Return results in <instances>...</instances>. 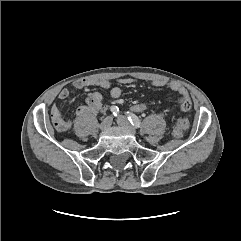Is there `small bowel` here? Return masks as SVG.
<instances>
[{
  "instance_id": "c3829d8e",
  "label": "small bowel",
  "mask_w": 241,
  "mask_h": 241,
  "mask_svg": "<svg viewBox=\"0 0 241 241\" xmlns=\"http://www.w3.org/2000/svg\"><path fill=\"white\" fill-rule=\"evenodd\" d=\"M134 82L132 78L124 77L117 80V83L121 86H127ZM150 83L155 87H168L173 92H175L177 97L178 105L182 112H187L191 108V99L188 95L187 90L176 82H169L163 79H154L151 80ZM87 86H97L102 89H109L110 96L113 99H119L122 94V90L120 86H112L111 82L107 79H78L73 82V87L75 89H82ZM70 92L67 88L62 89L59 94L58 98L60 100H65L68 98ZM106 108L102 104V96L99 92H92L86 98L85 103L77 108L76 115L77 116H84L87 114H93L98 112H104ZM52 119L54 123H58L56 126L57 129L61 131L69 130L72 126V121L69 119H64L61 115L60 110L54 106L52 108Z\"/></svg>"
}]
</instances>
